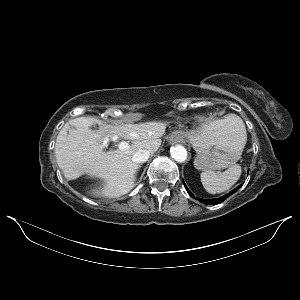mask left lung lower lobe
Wrapping results in <instances>:
<instances>
[{
    "label": "left lung lower lobe",
    "mask_w": 300,
    "mask_h": 300,
    "mask_svg": "<svg viewBox=\"0 0 300 300\" xmlns=\"http://www.w3.org/2000/svg\"><path fill=\"white\" fill-rule=\"evenodd\" d=\"M187 192L189 193V195L191 197H193L194 199H197L199 200L200 202L202 203H205V204H220L222 203L225 199H227L230 195H232L234 192H236L242 185L238 186L237 188H235L234 190H232L229 194H226L220 198H217V199H201V198H195L194 195L189 191V189L187 188V186L184 184Z\"/></svg>",
    "instance_id": "1"
}]
</instances>
